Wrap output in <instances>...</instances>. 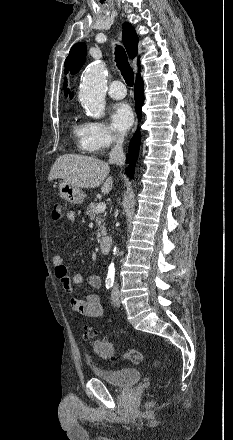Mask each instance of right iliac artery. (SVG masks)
I'll list each match as a JSON object with an SVG mask.
<instances>
[{"label":"right iliac artery","mask_w":233,"mask_h":440,"mask_svg":"<svg viewBox=\"0 0 233 440\" xmlns=\"http://www.w3.org/2000/svg\"><path fill=\"white\" fill-rule=\"evenodd\" d=\"M113 283H114V280H112V279H107V280L105 281V286H106V288H107V289H111L112 286H113Z\"/></svg>","instance_id":"1"}]
</instances>
